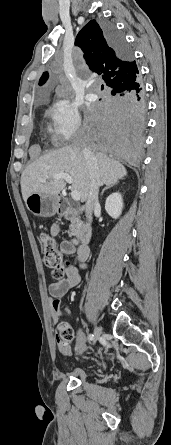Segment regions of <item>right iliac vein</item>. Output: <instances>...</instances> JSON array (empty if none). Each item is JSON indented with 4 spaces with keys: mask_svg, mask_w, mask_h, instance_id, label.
I'll use <instances>...</instances> for the list:
<instances>
[{
    "mask_svg": "<svg viewBox=\"0 0 171 445\" xmlns=\"http://www.w3.org/2000/svg\"><path fill=\"white\" fill-rule=\"evenodd\" d=\"M101 334H102L101 327L96 326L95 329H94V333H93V335H94V342L95 343L100 339Z\"/></svg>",
    "mask_w": 171,
    "mask_h": 445,
    "instance_id": "right-iliac-vein-1",
    "label": "right iliac vein"
}]
</instances>
